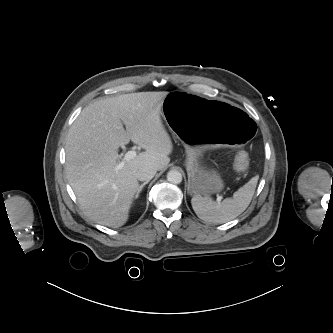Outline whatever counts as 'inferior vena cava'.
Returning <instances> with one entry per match:
<instances>
[{
    "instance_id": "obj_1",
    "label": "inferior vena cava",
    "mask_w": 333,
    "mask_h": 333,
    "mask_svg": "<svg viewBox=\"0 0 333 333\" xmlns=\"http://www.w3.org/2000/svg\"><path fill=\"white\" fill-rule=\"evenodd\" d=\"M157 169L152 166H141L138 168L135 176L139 181H150L156 174Z\"/></svg>"
}]
</instances>
